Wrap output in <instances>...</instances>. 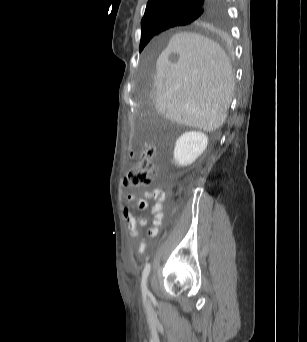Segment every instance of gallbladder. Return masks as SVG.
I'll list each match as a JSON object with an SVG mask.
<instances>
[{
  "label": "gallbladder",
  "mask_w": 307,
  "mask_h": 342,
  "mask_svg": "<svg viewBox=\"0 0 307 342\" xmlns=\"http://www.w3.org/2000/svg\"><path fill=\"white\" fill-rule=\"evenodd\" d=\"M140 112H141L142 114H145V113L147 112V109H146L145 107H142V108L140 109Z\"/></svg>",
  "instance_id": "bac80fb5"
}]
</instances>
